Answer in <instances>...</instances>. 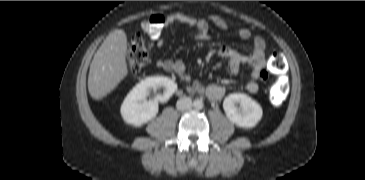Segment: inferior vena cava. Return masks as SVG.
Listing matches in <instances>:
<instances>
[{
    "label": "inferior vena cava",
    "instance_id": "obj_1",
    "mask_svg": "<svg viewBox=\"0 0 365 180\" xmlns=\"http://www.w3.org/2000/svg\"><path fill=\"white\" fill-rule=\"evenodd\" d=\"M176 107L180 111L189 110L192 107V100L189 97H182L177 101Z\"/></svg>",
    "mask_w": 365,
    "mask_h": 180
}]
</instances>
